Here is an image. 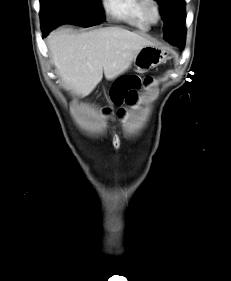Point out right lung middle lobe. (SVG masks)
<instances>
[{"mask_svg": "<svg viewBox=\"0 0 231 281\" xmlns=\"http://www.w3.org/2000/svg\"><path fill=\"white\" fill-rule=\"evenodd\" d=\"M40 19L43 28H56L70 23L94 26L104 21L99 0H40Z\"/></svg>", "mask_w": 231, "mask_h": 281, "instance_id": "dd1d6c3e", "label": "right lung middle lobe"}]
</instances>
